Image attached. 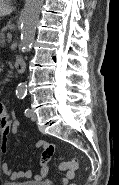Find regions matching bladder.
<instances>
[{
  "label": "bladder",
  "mask_w": 119,
  "mask_h": 185,
  "mask_svg": "<svg viewBox=\"0 0 119 185\" xmlns=\"http://www.w3.org/2000/svg\"><path fill=\"white\" fill-rule=\"evenodd\" d=\"M4 185H44L35 181H24V182H7Z\"/></svg>",
  "instance_id": "1"
}]
</instances>
